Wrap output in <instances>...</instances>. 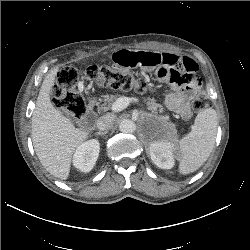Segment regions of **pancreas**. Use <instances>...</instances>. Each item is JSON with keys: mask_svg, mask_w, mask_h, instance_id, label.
Instances as JSON below:
<instances>
[{"mask_svg": "<svg viewBox=\"0 0 250 250\" xmlns=\"http://www.w3.org/2000/svg\"><path fill=\"white\" fill-rule=\"evenodd\" d=\"M117 100V96L116 95H103L101 101L103 102L102 105H100L99 110H104L107 111L110 106L113 104L114 101ZM97 105L99 106V103H97ZM147 105L149 106V109L155 113L157 110H159L160 113L164 112V108L162 105L156 103L155 99H147ZM166 118V117H163ZM169 128L170 130H172L173 134H177L175 126L173 124H169Z\"/></svg>", "mask_w": 250, "mask_h": 250, "instance_id": "1", "label": "pancreas"}]
</instances>
